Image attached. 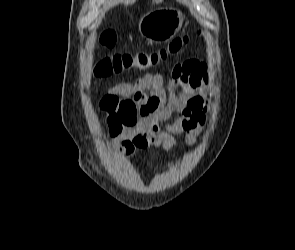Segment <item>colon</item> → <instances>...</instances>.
<instances>
[{
  "label": "colon",
  "instance_id": "1",
  "mask_svg": "<svg viewBox=\"0 0 295 250\" xmlns=\"http://www.w3.org/2000/svg\"><path fill=\"white\" fill-rule=\"evenodd\" d=\"M116 36L112 30H106L100 37V42L106 47H112ZM189 42L187 35L178 36L171 40L165 49L154 53H122L100 59L94 67V75L99 78L112 76L130 69H143L156 65L168 55L178 53ZM100 108L106 113V124L109 134L113 137L120 135L124 129L137 125L142 110L132 99H119L117 96L106 95L100 102Z\"/></svg>",
  "mask_w": 295,
  "mask_h": 250
}]
</instances>
